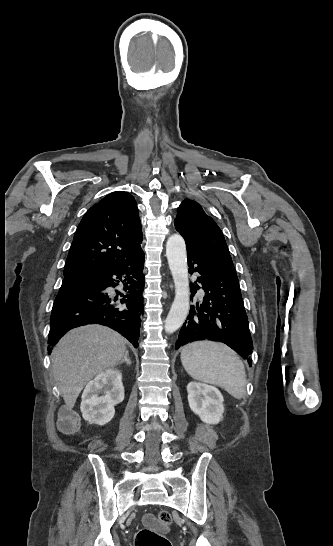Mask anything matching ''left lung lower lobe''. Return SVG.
<instances>
[{
	"label": "left lung lower lobe",
	"mask_w": 333,
	"mask_h": 546,
	"mask_svg": "<svg viewBox=\"0 0 333 546\" xmlns=\"http://www.w3.org/2000/svg\"><path fill=\"white\" fill-rule=\"evenodd\" d=\"M189 272L197 273L192 296L203 289V302L191 305L187 320L179 332L176 350L195 340L223 342L248 359L253 343L234 265L217 262L186 243ZM198 283V284H197Z\"/></svg>",
	"instance_id": "1"
}]
</instances>
